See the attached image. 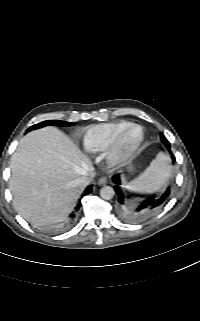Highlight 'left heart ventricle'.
<instances>
[{
	"label": "left heart ventricle",
	"mask_w": 200,
	"mask_h": 321,
	"mask_svg": "<svg viewBox=\"0 0 200 321\" xmlns=\"http://www.w3.org/2000/svg\"><path fill=\"white\" fill-rule=\"evenodd\" d=\"M140 134H141L140 129L138 128L131 129L125 137V145L129 146L135 143L139 139Z\"/></svg>",
	"instance_id": "b2bd125f"
}]
</instances>
